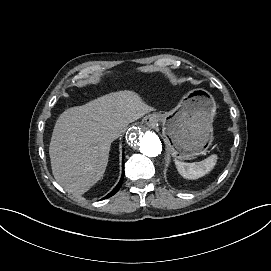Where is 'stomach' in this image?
<instances>
[{
	"instance_id": "1",
	"label": "stomach",
	"mask_w": 271,
	"mask_h": 271,
	"mask_svg": "<svg viewBox=\"0 0 271 271\" xmlns=\"http://www.w3.org/2000/svg\"><path fill=\"white\" fill-rule=\"evenodd\" d=\"M215 113V100L204 89L190 91L174 109L159 113L166 151L180 160L205 153L213 141Z\"/></svg>"
}]
</instances>
